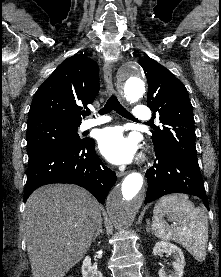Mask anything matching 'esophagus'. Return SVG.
Segmentation results:
<instances>
[{"label": "esophagus", "instance_id": "34e87169", "mask_svg": "<svg viewBox=\"0 0 221 277\" xmlns=\"http://www.w3.org/2000/svg\"><path fill=\"white\" fill-rule=\"evenodd\" d=\"M104 79L106 83V89L109 94L115 92L112 83V64L110 61H105L103 65ZM117 177H122L126 174L124 171H117Z\"/></svg>", "mask_w": 221, "mask_h": 277}]
</instances>
